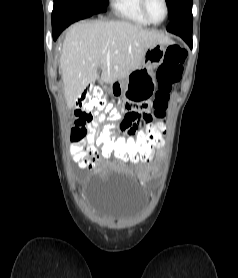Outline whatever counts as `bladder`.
<instances>
[{
    "label": "bladder",
    "instance_id": "bladder-1",
    "mask_svg": "<svg viewBox=\"0 0 238 278\" xmlns=\"http://www.w3.org/2000/svg\"><path fill=\"white\" fill-rule=\"evenodd\" d=\"M109 175H93V180H109ZM137 180V175H129ZM86 199L98 218L109 224L137 219L147 204L140 181H87Z\"/></svg>",
    "mask_w": 238,
    "mask_h": 278
}]
</instances>
